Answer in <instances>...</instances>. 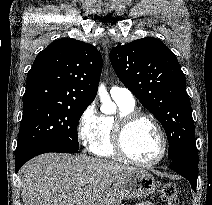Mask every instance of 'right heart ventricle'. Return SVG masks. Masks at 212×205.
<instances>
[{"mask_svg":"<svg viewBox=\"0 0 212 205\" xmlns=\"http://www.w3.org/2000/svg\"><path fill=\"white\" fill-rule=\"evenodd\" d=\"M116 103L119 107V115L134 110V105L130 106L118 101H116ZM117 117H111V116L99 117L95 136L88 146V150L90 153H92L97 157L102 158H108V159L119 158L112 144V128L114 121Z\"/></svg>","mask_w":212,"mask_h":205,"instance_id":"obj_1","label":"right heart ventricle"}]
</instances>
